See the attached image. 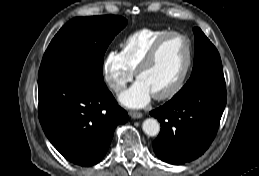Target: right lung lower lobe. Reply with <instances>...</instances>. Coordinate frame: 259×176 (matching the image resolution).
Returning a JSON list of instances; mask_svg holds the SVG:
<instances>
[{
	"instance_id": "right-lung-lower-lobe-1",
	"label": "right lung lower lobe",
	"mask_w": 259,
	"mask_h": 176,
	"mask_svg": "<svg viewBox=\"0 0 259 176\" xmlns=\"http://www.w3.org/2000/svg\"><path fill=\"white\" fill-rule=\"evenodd\" d=\"M39 120L68 161L91 166L106 154L118 124L128 120L103 80L75 70L38 77Z\"/></svg>"
}]
</instances>
